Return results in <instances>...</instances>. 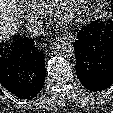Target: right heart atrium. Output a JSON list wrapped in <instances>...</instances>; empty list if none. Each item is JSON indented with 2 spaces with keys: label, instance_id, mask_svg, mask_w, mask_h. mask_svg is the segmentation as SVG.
<instances>
[{
  "label": "right heart atrium",
  "instance_id": "d8ad5b80",
  "mask_svg": "<svg viewBox=\"0 0 113 113\" xmlns=\"http://www.w3.org/2000/svg\"><path fill=\"white\" fill-rule=\"evenodd\" d=\"M40 13L32 10V9H28L24 12V18L27 21V23L29 24H35L39 21L40 19Z\"/></svg>",
  "mask_w": 113,
  "mask_h": 113
}]
</instances>
